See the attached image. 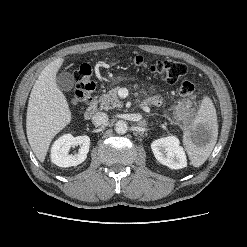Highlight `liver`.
I'll use <instances>...</instances> for the list:
<instances>
[{
  "mask_svg": "<svg viewBox=\"0 0 247 247\" xmlns=\"http://www.w3.org/2000/svg\"><path fill=\"white\" fill-rule=\"evenodd\" d=\"M63 63L64 58H58L42 70L28 101L26 132L40 162H44L52 139L72 119L67 99L56 84V74Z\"/></svg>",
  "mask_w": 247,
  "mask_h": 247,
  "instance_id": "6515ba94",
  "label": "liver"
}]
</instances>
